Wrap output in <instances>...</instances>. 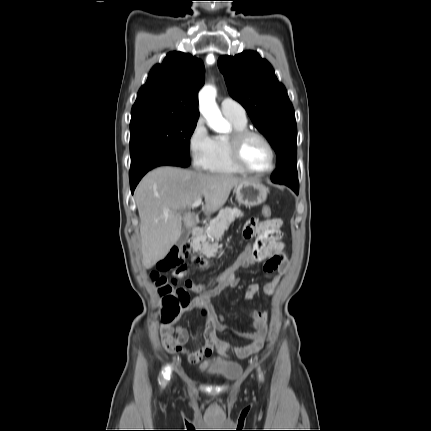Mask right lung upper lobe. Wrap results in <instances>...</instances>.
<instances>
[{"label": "right lung upper lobe", "instance_id": "right-lung-upper-lobe-1", "mask_svg": "<svg viewBox=\"0 0 431 431\" xmlns=\"http://www.w3.org/2000/svg\"><path fill=\"white\" fill-rule=\"evenodd\" d=\"M204 84L203 62L190 54L170 52L150 71L131 110V118L168 115L198 119V91Z\"/></svg>", "mask_w": 431, "mask_h": 431}]
</instances>
